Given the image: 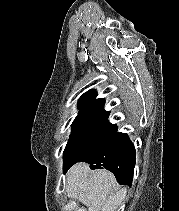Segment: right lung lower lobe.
<instances>
[{"label": "right lung lower lobe", "mask_w": 179, "mask_h": 211, "mask_svg": "<svg viewBox=\"0 0 179 211\" xmlns=\"http://www.w3.org/2000/svg\"><path fill=\"white\" fill-rule=\"evenodd\" d=\"M77 162H86L91 169L105 168L115 175L119 184L131 186L136 162L135 148L127 134L118 133L116 129L105 143ZM73 164L63 166L64 172Z\"/></svg>", "instance_id": "1"}]
</instances>
